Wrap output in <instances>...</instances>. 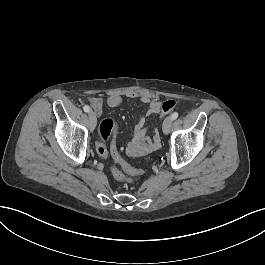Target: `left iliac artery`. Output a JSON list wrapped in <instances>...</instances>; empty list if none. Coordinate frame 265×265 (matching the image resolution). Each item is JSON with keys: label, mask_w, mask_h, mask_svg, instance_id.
<instances>
[{"label": "left iliac artery", "mask_w": 265, "mask_h": 265, "mask_svg": "<svg viewBox=\"0 0 265 265\" xmlns=\"http://www.w3.org/2000/svg\"><path fill=\"white\" fill-rule=\"evenodd\" d=\"M178 115H179V114H178L177 112H174V113L171 115L172 120L177 119Z\"/></svg>", "instance_id": "left-iliac-artery-1"}]
</instances>
